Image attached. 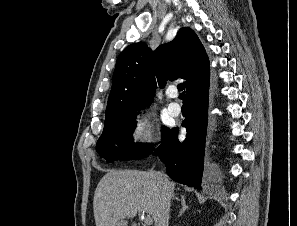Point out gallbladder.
<instances>
[{
	"instance_id": "1",
	"label": "gallbladder",
	"mask_w": 297,
	"mask_h": 226,
	"mask_svg": "<svg viewBox=\"0 0 297 226\" xmlns=\"http://www.w3.org/2000/svg\"><path fill=\"white\" fill-rule=\"evenodd\" d=\"M116 226H126V222L123 220H119Z\"/></svg>"
}]
</instances>
